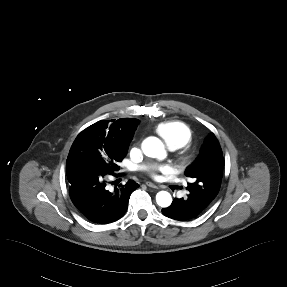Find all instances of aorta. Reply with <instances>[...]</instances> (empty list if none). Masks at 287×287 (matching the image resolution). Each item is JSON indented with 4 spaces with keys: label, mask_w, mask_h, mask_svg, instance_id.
<instances>
[{
    "label": "aorta",
    "mask_w": 287,
    "mask_h": 287,
    "mask_svg": "<svg viewBox=\"0 0 287 287\" xmlns=\"http://www.w3.org/2000/svg\"><path fill=\"white\" fill-rule=\"evenodd\" d=\"M142 150L148 157L164 158L165 149L163 143L156 137H148L142 143ZM156 202L160 207H168L172 203L171 194L167 191H160L156 195Z\"/></svg>",
    "instance_id": "762f6f07"
}]
</instances>
